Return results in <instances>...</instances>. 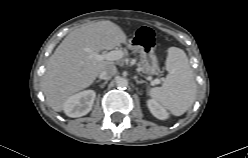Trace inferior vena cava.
Returning <instances> with one entry per match:
<instances>
[{
  "mask_svg": "<svg viewBox=\"0 0 248 158\" xmlns=\"http://www.w3.org/2000/svg\"><path fill=\"white\" fill-rule=\"evenodd\" d=\"M115 74H116V67L114 65H110V66H107L106 68H104L100 72L99 78L106 80V79H110Z\"/></svg>",
  "mask_w": 248,
  "mask_h": 158,
  "instance_id": "1",
  "label": "inferior vena cava"
}]
</instances>
